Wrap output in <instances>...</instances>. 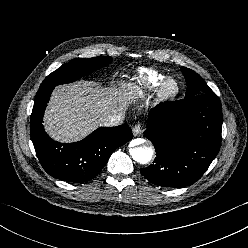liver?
Wrapping results in <instances>:
<instances>
[{
  "instance_id": "1",
  "label": "liver",
  "mask_w": 248,
  "mask_h": 248,
  "mask_svg": "<svg viewBox=\"0 0 248 248\" xmlns=\"http://www.w3.org/2000/svg\"><path fill=\"white\" fill-rule=\"evenodd\" d=\"M143 98L136 83L99 87L90 81L57 86L44 115L46 132L53 139L68 143L83 139L108 115L123 113L135 99Z\"/></svg>"
}]
</instances>
